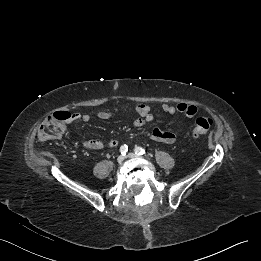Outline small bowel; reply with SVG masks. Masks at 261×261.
I'll return each instance as SVG.
<instances>
[{
	"instance_id": "c3829d8e",
	"label": "small bowel",
	"mask_w": 261,
	"mask_h": 261,
	"mask_svg": "<svg viewBox=\"0 0 261 261\" xmlns=\"http://www.w3.org/2000/svg\"><path fill=\"white\" fill-rule=\"evenodd\" d=\"M133 111L137 113L138 117L133 120V125L135 127H141L146 123H149L153 120V113L152 108L146 104H137L133 107ZM162 111L166 114L173 115L175 113H182L185 116L192 118L194 117L198 110L197 107L194 105H188L185 103H180L177 105H169L164 104L162 105ZM113 112L111 111H100L97 114V117L100 120H108L113 116ZM91 120V116L89 114H80V113H73L71 121H82V122H89ZM66 134V128L63 127L62 133L60 137ZM149 137L157 142H163L167 144H173L176 141V135L171 131H163L158 128H153L150 133ZM82 145L88 149H95L100 150L107 145L110 148H115L119 145V141L117 139H110L105 144L101 139L94 138V139H83L81 141Z\"/></svg>"
}]
</instances>
